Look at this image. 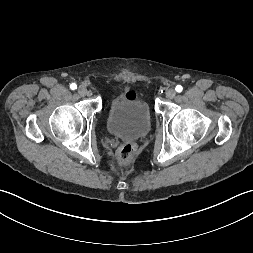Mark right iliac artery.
Returning <instances> with one entry per match:
<instances>
[{"instance_id": "obj_1", "label": "right iliac artery", "mask_w": 253, "mask_h": 253, "mask_svg": "<svg viewBox=\"0 0 253 253\" xmlns=\"http://www.w3.org/2000/svg\"><path fill=\"white\" fill-rule=\"evenodd\" d=\"M70 88H71L72 90H75V89H77V85H76L75 83H72V84L70 85Z\"/></svg>"}]
</instances>
